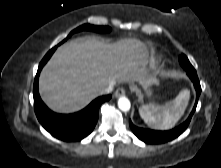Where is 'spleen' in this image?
Listing matches in <instances>:
<instances>
[{
    "label": "spleen",
    "mask_w": 221,
    "mask_h": 168,
    "mask_svg": "<svg viewBox=\"0 0 221 168\" xmlns=\"http://www.w3.org/2000/svg\"><path fill=\"white\" fill-rule=\"evenodd\" d=\"M190 92L182 90L176 98L165 105L150 103L139 108V114L149 126L167 130L175 126L183 115L189 100Z\"/></svg>",
    "instance_id": "obj_1"
}]
</instances>
